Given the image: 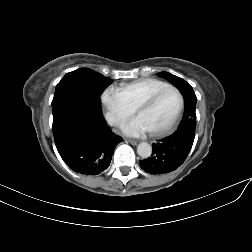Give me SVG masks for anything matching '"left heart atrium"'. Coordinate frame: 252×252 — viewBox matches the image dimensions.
<instances>
[{"label":"left heart atrium","mask_w":252,"mask_h":252,"mask_svg":"<svg viewBox=\"0 0 252 252\" xmlns=\"http://www.w3.org/2000/svg\"><path fill=\"white\" fill-rule=\"evenodd\" d=\"M122 131L130 136H139L144 134L145 132H147V128L145 126V124L143 123V121L137 117L131 121H129L128 123H126L123 127H122Z\"/></svg>","instance_id":"left-heart-atrium-1"}]
</instances>
